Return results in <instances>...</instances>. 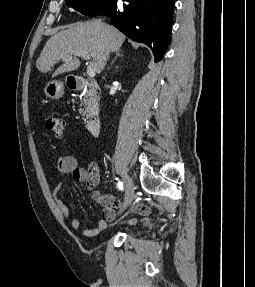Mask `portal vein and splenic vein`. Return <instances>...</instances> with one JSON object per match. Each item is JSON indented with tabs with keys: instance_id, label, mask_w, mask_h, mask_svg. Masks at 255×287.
<instances>
[{
	"instance_id": "18ae733b",
	"label": "portal vein and splenic vein",
	"mask_w": 255,
	"mask_h": 287,
	"mask_svg": "<svg viewBox=\"0 0 255 287\" xmlns=\"http://www.w3.org/2000/svg\"><path fill=\"white\" fill-rule=\"evenodd\" d=\"M78 56H81L83 60H91V56H89L88 52H83V54H78ZM90 66L87 68V74L90 76V78H94L95 76V70H96V64L94 62H89Z\"/></svg>"
}]
</instances>
